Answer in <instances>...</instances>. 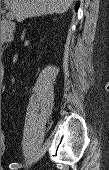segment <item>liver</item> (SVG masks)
Instances as JSON below:
<instances>
[{
  "label": "liver",
  "instance_id": "1",
  "mask_svg": "<svg viewBox=\"0 0 109 170\" xmlns=\"http://www.w3.org/2000/svg\"><path fill=\"white\" fill-rule=\"evenodd\" d=\"M18 22L45 14H62L68 11L73 0H5Z\"/></svg>",
  "mask_w": 109,
  "mask_h": 170
}]
</instances>
